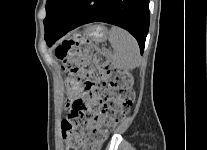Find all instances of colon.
<instances>
[{
    "mask_svg": "<svg viewBox=\"0 0 207 150\" xmlns=\"http://www.w3.org/2000/svg\"><path fill=\"white\" fill-rule=\"evenodd\" d=\"M54 54L63 70L83 85L86 95L85 99L72 103L71 111L62 122L67 150H78L81 146L99 150L133 104L131 76L117 67L94 42L83 37L57 46ZM93 65L101 71L103 83ZM66 87H73V79H66Z\"/></svg>",
    "mask_w": 207,
    "mask_h": 150,
    "instance_id": "colon-1",
    "label": "colon"
}]
</instances>
